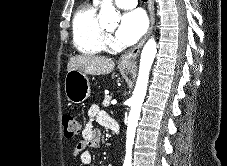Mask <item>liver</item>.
<instances>
[{"mask_svg":"<svg viewBox=\"0 0 227 166\" xmlns=\"http://www.w3.org/2000/svg\"><path fill=\"white\" fill-rule=\"evenodd\" d=\"M115 63L111 58L93 55H76L69 59L67 71L73 69L84 74L105 75L113 71Z\"/></svg>","mask_w":227,"mask_h":166,"instance_id":"6515ba94","label":"liver"}]
</instances>
